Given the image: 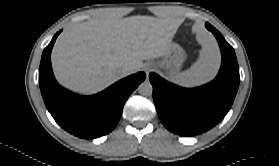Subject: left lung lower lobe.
Masks as SVG:
<instances>
[{"instance_id": "1", "label": "left lung lower lobe", "mask_w": 279, "mask_h": 166, "mask_svg": "<svg viewBox=\"0 0 279 166\" xmlns=\"http://www.w3.org/2000/svg\"><path fill=\"white\" fill-rule=\"evenodd\" d=\"M206 28L216 37L223 61L216 79L202 87L186 89L150 73L153 100L162 124L182 136L203 133L218 124L228 113L239 86V67L235 51L221 33L209 23Z\"/></svg>"}]
</instances>
